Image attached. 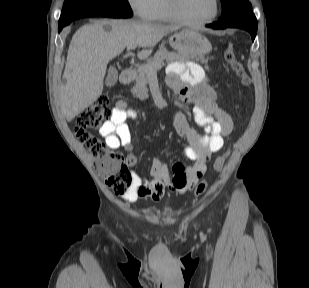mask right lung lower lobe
<instances>
[{
	"instance_id": "1",
	"label": "right lung lower lobe",
	"mask_w": 309,
	"mask_h": 288,
	"mask_svg": "<svg viewBox=\"0 0 309 288\" xmlns=\"http://www.w3.org/2000/svg\"><path fill=\"white\" fill-rule=\"evenodd\" d=\"M92 16H102V17H112V18H130L132 16V12L115 10V9H96V10H91V11L86 12L76 19L84 18V17H92ZM63 27L64 26H59L58 31L60 32Z\"/></svg>"
}]
</instances>
